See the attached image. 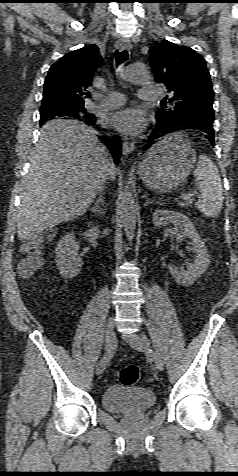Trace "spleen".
Instances as JSON below:
<instances>
[{
	"label": "spleen",
	"mask_w": 238,
	"mask_h": 476,
	"mask_svg": "<svg viewBox=\"0 0 238 476\" xmlns=\"http://www.w3.org/2000/svg\"><path fill=\"white\" fill-rule=\"evenodd\" d=\"M194 177L201 192L196 207L207 217H217L224 198L219 171L211 158L203 154L199 156Z\"/></svg>",
	"instance_id": "obj_1"
}]
</instances>
